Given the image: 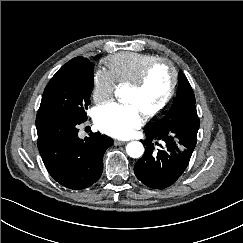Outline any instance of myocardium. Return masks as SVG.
I'll return each instance as SVG.
<instances>
[{"mask_svg": "<svg viewBox=\"0 0 243 243\" xmlns=\"http://www.w3.org/2000/svg\"><path fill=\"white\" fill-rule=\"evenodd\" d=\"M167 64L171 70V74H172V80H171V85L169 88V91L166 95V97L164 98V100L155 108H153L152 110L146 112L144 114V116L146 118H152L158 114H160L162 111H164L169 104L172 102L175 94H176V90H177V86H178V71L174 65V63L167 59V58H156L155 60L149 62L139 73V75L132 80L131 82L128 83V87L134 88V89H140L146 82L150 72L153 70L154 67H156L159 64Z\"/></svg>", "mask_w": 243, "mask_h": 243, "instance_id": "f54148a6", "label": "myocardium"}]
</instances>
